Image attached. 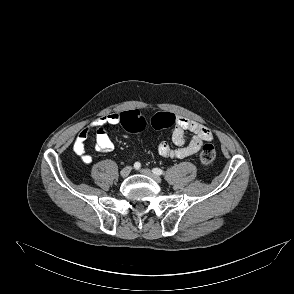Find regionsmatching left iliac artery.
Returning a JSON list of instances; mask_svg holds the SVG:
<instances>
[{
    "mask_svg": "<svg viewBox=\"0 0 294 294\" xmlns=\"http://www.w3.org/2000/svg\"><path fill=\"white\" fill-rule=\"evenodd\" d=\"M152 171L156 175H162L164 173L163 170H161L159 168H154Z\"/></svg>",
    "mask_w": 294,
    "mask_h": 294,
    "instance_id": "left-iliac-artery-1",
    "label": "left iliac artery"
}]
</instances>
